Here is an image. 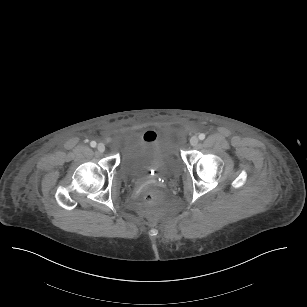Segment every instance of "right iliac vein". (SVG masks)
I'll return each mask as SVG.
<instances>
[{
    "mask_svg": "<svg viewBox=\"0 0 307 307\" xmlns=\"http://www.w3.org/2000/svg\"><path fill=\"white\" fill-rule=\"evenodd\" d=\"M97 150L100 153H103L105 151V145L103 143H99L98 146H97Z\"/></svg>",
    "mask_w": 307,
    "mask_h": 307,
    "instance_id": "obj_1",
    "label": "right iliac vein"
}]
</instances>
